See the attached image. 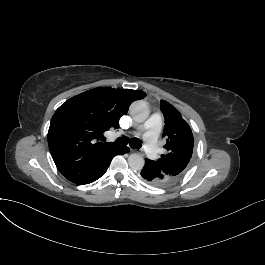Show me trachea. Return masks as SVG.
Returning <instances> with one entry per match:
<instances>
[{"instance_id": "1", "label": "trachea", "mask_w": 265, "mask_h": 265, "mask_svg": "<svg viewBox=\"0 0 265 265\" xmlns=\"http://www.w3.org/2000/svg\"><path fill=\"white\" fill-rule=\"evenodd\" d=\"M129 142L128 137L123 136L121 138H118L115 143L119 146H126ZM130 145L132 148L138 149L141 147V141L138 138H133L130 140Z\"/></svg>"}]
</instances>
